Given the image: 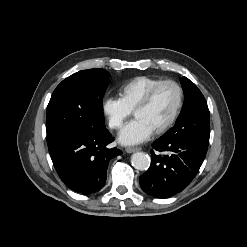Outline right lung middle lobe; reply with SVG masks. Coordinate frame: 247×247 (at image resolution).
Listing matches in <instances>:
<instances>
[{"instance_id": "dd1d6c3e", "label": "right lung middle lobe", "mask_w": 247, "mask_h": 247, "mask_svg": "<svg viewBox=\"0 0 247 247\" xmlns=\"http://www.w3.org/2000/svg\"><path fill=\"white\" fill-rule=\"evenodd\" d=\"M109 72L104 69L79 71L54 90L46 115L47 143L73 134L96 132L105 127L102 98Z\"/></svg>"}]
</instances>
